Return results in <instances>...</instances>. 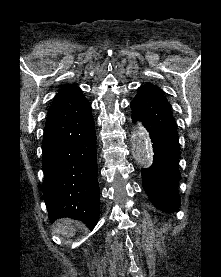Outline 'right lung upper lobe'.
<instances>
[{"label": "right lung upper lobe", "mask_w": 221, "mask_h": 277, "mask_svg": "<svg viewBox=\"0 0 221 277\" xmlns=\"http://www.w3.org/2000/svg\"><path fill=\"white\" fill-rule=\"evenodd\" d=\"M76 90H79V88L75 84L66 85L58 92V94L55 96V98L63 96L65 94H68V93L76 91Z\"/></svg>", "instance_id": "cb5924a9"}]
</instances>
